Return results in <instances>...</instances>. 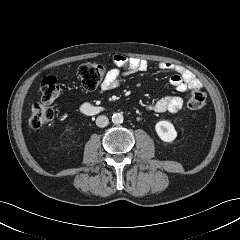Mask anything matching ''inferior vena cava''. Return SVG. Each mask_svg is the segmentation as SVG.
I'll return each instance as SVG.
<instances>
[{
    "label": "inferior vena cava",
    "mask_w": 240,
    "mask_h": 240,
    "mask_svg": "<svg viewBox=\"0 0 240 240\" xmlns=\"http://www.w3.org/2000/svg\"><path fill=\"white\" fill-rule=\"evenodd\" d=\"M108 124H109V119H108L107 116H105V115H100V116L97 117V119H96V125H97L98 127L103 128V127H106Z\"/></svg>",
    "instance_id": "1"
}]
</instances>
